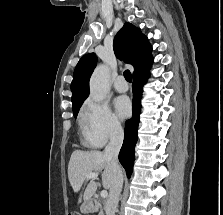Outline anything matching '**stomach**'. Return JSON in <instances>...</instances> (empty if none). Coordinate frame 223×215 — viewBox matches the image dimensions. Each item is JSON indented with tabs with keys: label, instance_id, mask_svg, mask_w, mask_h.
<instances>
[{
	"label": "stomach",
	"instance_id": "1",
	"mask_svg": "<svg viewBox=\"0 0 223 215\" xmlns=\"http://www.w3.org/2000/svg\"><path fill=\"white\" fill-rule=\"evenodd\" d=\"M94 203L93 202H84L81 205V211L82 213H90V211H93Z\"/></svg>",
	"mask_w": 223,
	"mask_h": 215
}]
</instances>
